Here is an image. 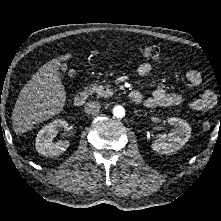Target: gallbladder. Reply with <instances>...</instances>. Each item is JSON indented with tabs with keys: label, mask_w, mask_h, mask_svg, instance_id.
I'll return each mask as SVG.
<instances>
[{
	"label": "gallbladder",
	"mask_w": 221,
	"mask_h": 221,
	"mask_svg": "<svg viewBox=\"0 0 221 221\" xmlns=\"http://www.w3.org/2000/svg\"><path fill=\"white\" fill-rule=\"evenodd\" d=\"M59 69H60V72H66L67 70V64L66 63H63L59 66Z\"/></svg>",
	"instance_id": "obj_1"
}]
</instances>
